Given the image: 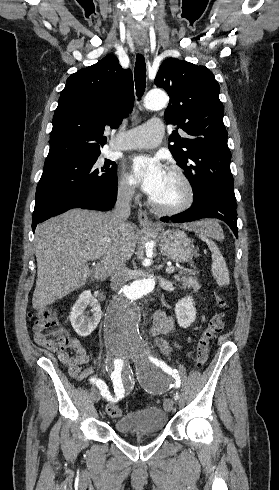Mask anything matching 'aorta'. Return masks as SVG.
Returning a JSON list of instances; mask_svg holds the SVG:
<instances>
[{
	"mask_svg": "<svg viewBox=\"0 0 279 490\" xmlns=\"http://www.w3.org/2000/svg\"><path fill=\"white\" fill-rule=\"evenodd\" d=\"M169 101L163 91H150L144 100V107L149 110L164 108ZM150 264V260H147ZM155 280L152 275L146 279L136 280L126 287L109 304L105 315V338L111 345H136L141 342L139 334V313L135 301L153 291Z\"/></svg>",
	"mask_w": 279,
	"mask_h": 490,
	"instance_id": "1",
	"label": "aorta"
}]
</instances>
